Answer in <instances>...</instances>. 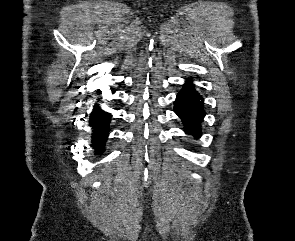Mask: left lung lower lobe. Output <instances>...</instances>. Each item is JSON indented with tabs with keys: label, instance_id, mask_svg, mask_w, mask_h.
<instances>
[{
	"label": "left lung lower lobe",
	"instance_id": "obj_1",
	"mask_svg": "<svg viewBox=\"0 0 295 241\" xmlns=\"http://www.w3.org/2000/svg\"><path fill=\"white\" fill-rule=\"evenodd\" d=\"M203 105L204 100L194 89L191 81L184 84L174 102V112L182 119L185 132L192 134L195 138L201 136L200 123L205 116Z\"/></svg>",
	"mask_w": 295,
	"mask_h": 241
}]
</instances>
